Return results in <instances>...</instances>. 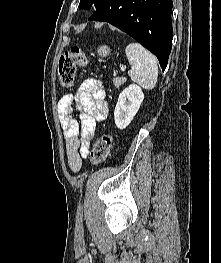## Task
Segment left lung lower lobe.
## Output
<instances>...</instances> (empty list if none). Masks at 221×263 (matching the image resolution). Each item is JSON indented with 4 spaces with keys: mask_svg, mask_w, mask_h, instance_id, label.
<instances>
[{
    "mask_svg": "<svg viewBox=\"0 0 221 263\" xmlns=\"http://www.w3.org/2000/svg\"><path fill=\"white\" fill-rule=\"evenodd\" d=\"M172 0H105L89 20L108 22L157 56L164 71L172 47Z\"/></svg>",
    "mask_w": 221,
    "mask_h": 263,
    "instance_id": "1",
    "label": "left lung lower lobe"
}]
</instances>
